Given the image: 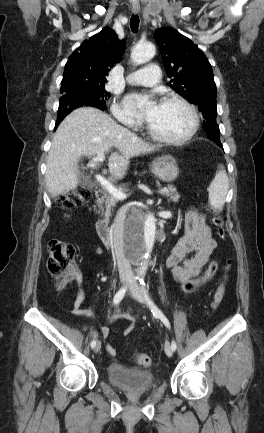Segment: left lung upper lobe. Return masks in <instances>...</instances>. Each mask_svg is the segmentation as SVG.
I'll list each match as a JSON object with an SVG mask.
<instances>
[{
    "instance_id": "obj_1",
    "label": "left lung upper lobe",
    "mask_w": 264,
    "mask_h": 433,
    "mask_svg": "<svg viewBox=\"0 0 264 433\" xmlns=\"http://www.w3.org/2000/svg\"><path fill=\"white\" fill-rule=\"evenodd\" d=\"M154 36L162 52L166 73L171 78L170 87L198 106L205 121H216V87L212 67L204 53L173 28L158 29ZM205 131L209 139L220 141L217 123H205Z\"/></svg>"
}]
</instances>
